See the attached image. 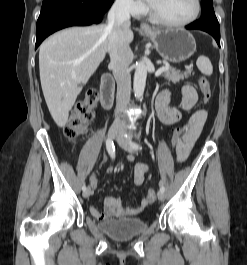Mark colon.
Wrapping results in <instances>:
<instances>
[{
	"label": "colon",
	"mask_w": 247,
	"mask_h": 265,
	"mask_svg": "<svg viewBox=\"0 0 247 265\" xmlns=\"http://www.w3.org/2000/svg\"><path fill=\"white\" fill-rule=\"evenodd\" d=\"M198 84L203 95V101L206 103L211 99L212 95L209 81L206 77H201ZM97 101V93L91 91L76 104L64 128V135L69 141H74L87 132L89 122L95 113ZM181 132L182 126L176 127L171 138V146L176 154L180 146ZM155 199L156 191L155 189H150L147 192L146 201L149 204L153 203Z\"/></svg>",
	"instance_id": "1"
}]
</instances>
